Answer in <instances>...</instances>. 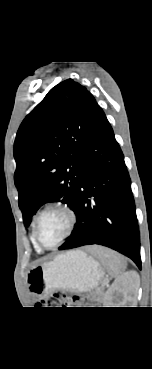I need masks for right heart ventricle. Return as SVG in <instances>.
Returning <instances> with one entry per match:
<instances>
[{"mask_svg":"<svg viewBox=\"0 0 152 369\" xmlns=\"http://www.w3.org/2000/svg\"><path fill=\"white\" fill-rule=\"evenodd\" d=\"M32 240H33V238H32ZM33 243H34V245H35L36 249H37V250H39V248H38V247H37V245L35 244L34 240H33Z\"/></svg>","mask_w":152,"mask_h":369,"instance_id":"1","label":"right heart ventricle"}]
</instances>
